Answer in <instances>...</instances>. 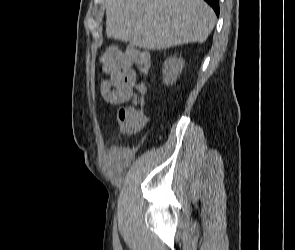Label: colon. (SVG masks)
<instances>
[{
  "label": "colon",
  "mask_w": 295,
  "mask_h": 250,
  "mask_svg": "<svg viewBox=\"0 0 295 250\" xmlns=\"http://www.w3.org/2000/svg\"><path fill=\"white\" fill-rule=\"evenodd\" d=\"M135 51H137L135 48H126L124 50H119L115 47L107 48L101 56L104 70L109 72L119 61H122ZM144 90V85L138 86L140 93H144ZM116 121L118 126L126 132L132 133L141 130L147 121L142 103L139 100H135L121 106L117 110Z\"/></svg>",
  "instance_id": "obj_1"
}]
</instances>
